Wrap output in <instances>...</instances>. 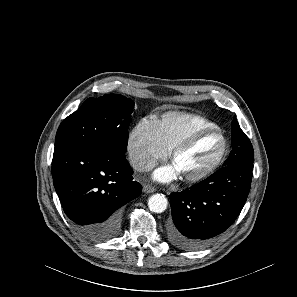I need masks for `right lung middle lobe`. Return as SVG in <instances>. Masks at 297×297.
Here are the masks:
<instances>
[{"label": "right lung middle lobe", "instance_id": "dd1d6c3e", "mask_svg": "<svg viewBox=\"0 0 297 297\" xmlns=\"http://www.w3.org/2000/svg\"><path fill=\"white\" fill-rule=\"evenodd\" d=\"M134 102L122 95L89 98L60 124L55 147L95 144L125 153Z\"/></svg>", "mask_w": 297, "mask_h": 297}]
</instances>
